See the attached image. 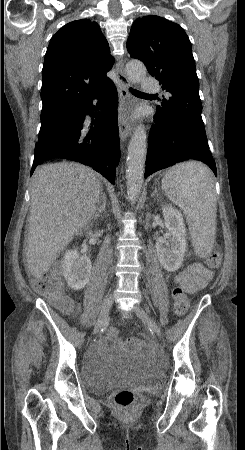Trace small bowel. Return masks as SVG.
Returning <instances> with one entry per match:
<instances>
[{"mask_svg":"<svg viewBox=\"0 0 245 450\" xmlns=\"http://www.w3.org/2000/svg\"><path fill=\"white\" fill-rule=\"evenodd\" d=\"M212 278L213 272L210 269L201 264H192L186 270L180 272L175 277V281L184 287L187 292H193L205 287ZM106 344L105 338L99 341L100 347H104Z\"/></svg>","mask_w":245,"mask_h":450,"instance_id":"obj_1","label":"small bowel"}]
</instances>
